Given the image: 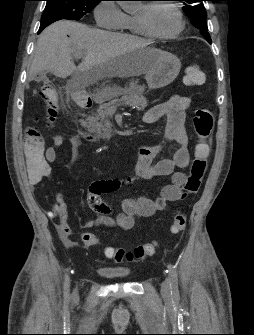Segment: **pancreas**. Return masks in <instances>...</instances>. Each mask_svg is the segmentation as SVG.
Instances as JSON below:
<instances>
[{
    "mask_svg": "<svg viewBox=\"0 0 254 335\" xmlns=\"http://www.w3.org/2000/svg\"><path fill=\"white\" fill-rule=\"evenodd\" d=\"M119 96L121 98L119 99ZM100 105L96 113L88 117L86 127L92 133L102 135L107 133L112 124L109 121V114L115 110L120 103L128 105L138 110H144L147 107V100L143 96L140 86L131 85L126 91H115L105 89L99 95ZM107 101V103H105Z\"/></svg>",
    "mask_w": 254,
    "mask_h": 335,
    "instance_id": "pancreas-1",
    "label": "pancreas"
}]
</instances>
